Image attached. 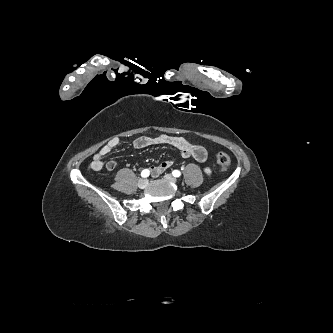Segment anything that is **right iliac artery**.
<instances>
[{"label": "right iliac artery", "instance_id": "right-iliac-artery-1", "mask_svg": "<svg viewBox=\"0 0 333 333\" xmlns=\"http://www.w3.org/2000/svg\"><path fill=\"white\" fill-rule=\"evenodd\" d=\"M150 175V171L148 170V169H144L143 171H142V173H141V176L143 177V178H146V177H148Z\"/></svg>", "mask_w": 333, "mask_h": 333}]
</instances>
